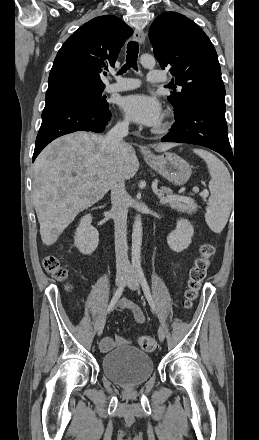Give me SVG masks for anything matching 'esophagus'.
<instances>
[{
    "instance_id": "obj_1",
    "label": "esophagus",
    "mask_w": 259,
    "mask_h": 440,
    "mask_svg": "<svg viewBox=\"0 0 259 440\" xmlns=\"http://www.w3.org/2000/svg\"><path fill=\"white\" fill-rule=\"evenodd\" d=\"M134 40L137 41L140 44H143L144 41H145V33H144V31L141 30V29H136L135 32H134ZM141 150H142V152L144 154H149L150 153V151L146 147H143Z\"/></svg>"
}]
</instances>
